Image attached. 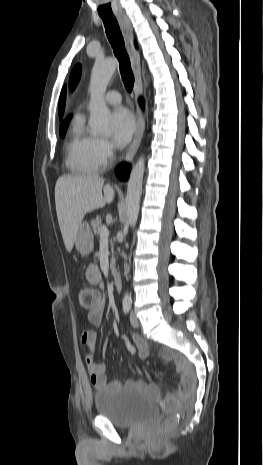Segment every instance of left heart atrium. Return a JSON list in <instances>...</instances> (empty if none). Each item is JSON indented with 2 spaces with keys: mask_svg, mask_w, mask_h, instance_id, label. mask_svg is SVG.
Listing matches in <instances>:
<instances>
[{
  "mask_svg": "<svg viewBox=\"0 0 263 465\" xmlns=\"http://www.w3.org/2000/svg\"><path fill=\"white\" fill-rule=\"evenodd\" d=\"M111 121L114 140L120 145L127 144L136 128L133 114L125 107H118L113 111Z\"/></svg>",
  "mask_w": 263,
  "mask_h": 465,
  "instance_id": "left-heart-atrium-1",
  "label": "left heart atrium"
}]
</instances>
